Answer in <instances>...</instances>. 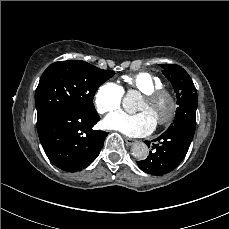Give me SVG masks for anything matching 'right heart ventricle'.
Segmentation results:
<instances>
[{
    "mask_svg": "<svg viewBox=\"0 0 229 229\" xmlns=\"http://www.w3.org/2000/svg\"><path fill=\"white\" fill-rule=\"evenodd\" d=\"M123 81L130 90L129 92L137 91L143 94L152 89L162 88L164 85L159 76L146 71L125 75Z\"/></svg>",
    "mask_w": 229,
    "mask_h": 229,
    "instance_id": "e07e8e85",
    "label": "right heart ventricle"
}]
</instances>
